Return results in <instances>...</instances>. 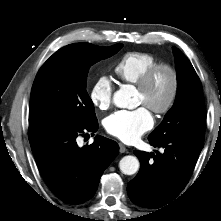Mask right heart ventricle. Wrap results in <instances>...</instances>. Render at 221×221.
<instances>
[{
	"instance_id": "obj_1",
	"label": "right heart ventricle",
	"mask_w": 221,
	"mask_h": 221,
	"mask_svg": "<svg viewBox=\"0 0 221 221\" xmlns=\"http://www.w3.org/2000/svg\"><path fill=\"white\" fill-rule=\"evenodd\" d=\"M156 63L158 59L153 54L128 52L116 63L114 72L121 81L136 84L141 76Z\"/></svg>"
}]
</instances>
